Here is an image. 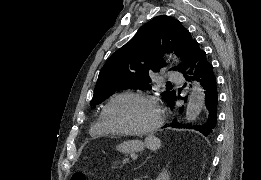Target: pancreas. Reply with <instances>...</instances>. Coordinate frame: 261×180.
<instances>
[{"mask_svg":"<svg viewBox=\"0 0 261 180\" xmlns=\"http://www.w3.org/2000/svg\"><path fill=\"white\" fill-rule=\"evenodd\" d=\"M110 166L113 170H122V165L119 159H113Z\"/></svg>","mask_w":261,"mask_h":180,"instance_id":"pancreas-1","label":"pancreas"}]
</instances>
